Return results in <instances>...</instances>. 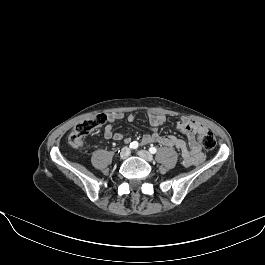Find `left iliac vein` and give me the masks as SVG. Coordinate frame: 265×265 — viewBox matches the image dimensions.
<instances>
[{"label": "left iliac vein", "mask_w": 265, "mask_h": 265, "mask_svg": "<svg viewBox=\"0 0 265 265\" xmlns=\"http://www.w3.org/2000/svg\"><path fill=\"white\" fill-rule=\"evenodd\" d=\"M138 155L146 161L152 162L154 160L153 155L146 150L138 151Z\"/></svg>", "instance_id": "1"}]
</instances>
